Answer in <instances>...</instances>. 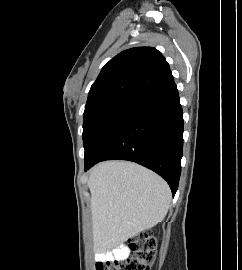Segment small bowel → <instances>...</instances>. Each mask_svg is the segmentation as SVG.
<instances>
[{
	"label": "small bowel",
	"instance_id": "obj_1",
	"mask_svg": "<svg viewBox=\"0 0 242 270\" xmlns=\"http://www.w3.org/2000/svg\"><path fill=\"white\" fill-rule=\"evenodd\" d=\"M127 254H128L127 247L120 246V247H117L116 249H114L111 252L99 254L97 256V262L96 263L102 264L104 266H109V265L112 264V262L115 259H123V258H125L127 256Z\"/></svg>",
	"mask_w": 242,
	"mask_h": 270
}]
</instances>
